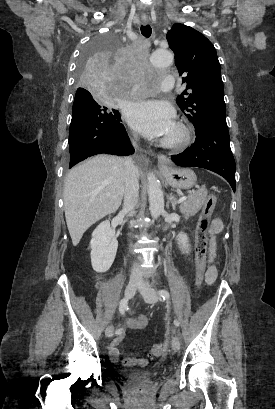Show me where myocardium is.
<instances>
[{
  "label": "myocardium",
  "instance_id": "1",
  "mask_svg": "<svg viewBox=\"0 0 275 409\" xmlns=\"http://www.w3.org/2000/svg\"><path fill=\"white\" fill-rule=\"evenodd\" d=\"M175 133L171 137H164L160 140L161 146L165 148H177L185 144L189 138V130L183 123L174 125Z\"/></svg>",
  "mask_w": 275,
  "mask_h": 409
}]
</instances>
